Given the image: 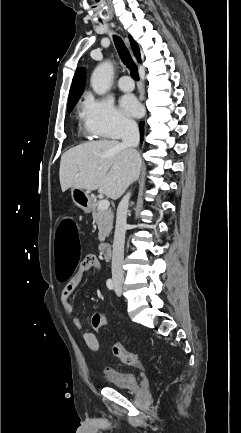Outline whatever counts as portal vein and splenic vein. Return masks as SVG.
Masks as SVG:
<instances>
[{"label": "portal vein and splenic vein", "instance_id": "1", "mask_svg": "<svg viewBox=\"0 0 241 433\" xmlns=\"http://www.w3.org/2000/svg\"><path fill=\"white\" fill-rule=\"evenodd\" d=\"M110 206V202L108 200H101L98 204V209L101 211L107 210Z\"/></svg>", "mask_w": 241, "mask_h": 433}]
</instances>
